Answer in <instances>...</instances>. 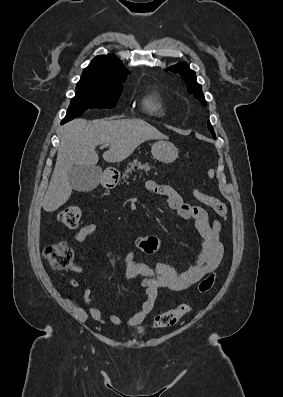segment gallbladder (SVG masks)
Wrapping results in <instances>:
<instances>
[{
	"label": "gallbladder",
	"mask_w": 283,
	"mask_h": 397,
	"mask_svg": "<svg viewBox=\"0 0 283 397\" xmlns=\"http://www.w3.org/2000/svg\"><path fill=\"white\" fill-rule=\"evenodd\" d=\"M101 170L96 166L74 165L68 173L71 187L79 192L92 191L99 183Z\"/></svg>",
	"instance_id": "obj_1"
}]
</instances>
